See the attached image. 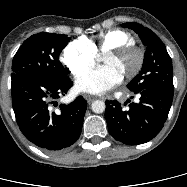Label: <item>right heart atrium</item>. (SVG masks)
I'll return each mask as SVG.
<instances>
[{
	"label": "right heart atrium",
	"instance_id": "obj_1",
	"mask_svg": "<svg viewBox=\"0 0 187 187\" xmlns=\"http://www.w3.org/2000/svg\"><path fill=\"white\" fill-rule=\"evenodd\" d=\"M96 53L87 39L70 42L63 51V61L76 77L89 70L96 61Z\"/></svg>",
	"mask_w": 187,
	"mask_h": 187
}]
</instances>
